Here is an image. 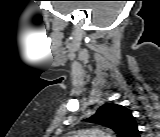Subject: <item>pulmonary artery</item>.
<instances>
[{"mask_svg": "<svg viewBox=\"0 0 160 137\" xmlns=\"http://www.w3.org/2000/svg\"><path fill=\"white\" fill-rule=\"evenodd\" d=\"M76 137H106L99 131H84L79 133Z\"/></svg>", "mask_w": 160, "mask_h": 137, "instance_id": "e3ab8cb5", "label": "pulmonary artery"}]
</instances>
